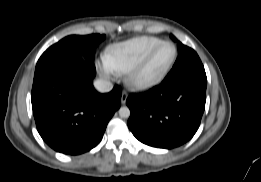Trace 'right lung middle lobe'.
Here are the masks:
<instances>
[{
  "mask_svg": "<svg viewBox=\"0 0 261 182\" xmlns=\"http://www.w3.org/2000/svg\"><path fill=\"white\" fill-rule=\"evenodd\" d=\"M105 39V35L92 34L86 36L71 35L49 47L40 57L36 66L51 59L67 54H84L87 62L94 63L95 49Z\"/></svg>",
  "mask_w": 261,
  "mask_h": 182,
  "instance_id": "dd1d6c3e",
  "label": "right lung middle lobe"
}]
</instances>
